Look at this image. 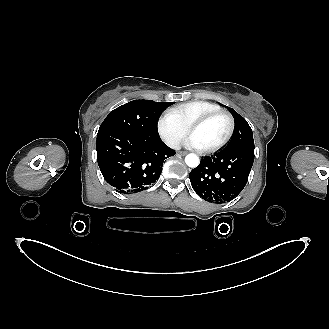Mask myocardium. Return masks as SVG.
I'll use <instances>...</instances> for the list:
<instances>
[{"label":"myocardium","instance_id":"1","mask_svg":"<svg viewBox=\"0 0 329 329\" xmlns=\"http://www.w3.org/2000/svg\"><path fill=\"white\" fill-rule=\"evenodd\" d=\"M219 116H223L228 120V132L226 134V136L216 145L210 147V148H206V149H201L202 153H214L218 150H220L222 147H224L231 139L233 133H234V129H235V121L234 118L232 117V115L225 111V110H218V111H214L211 113H208L196 120H194L188 127V132L191 133L195 128L205 124L206 122L210 121L211 119H214L216 117Z\"/></svg>","mask_w":329,"mask_h":329}]
</instances>
